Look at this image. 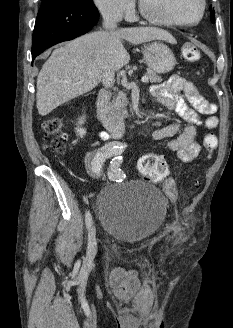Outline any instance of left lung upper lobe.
I'll return each instance as SVG.
<instances>
[{
	"label": "left lung upper lobe",
	"mask_w": 233,
	"mask_h": 328,
	"mask_svg": "<svg viewBox=\"0 0 233 328\" xmlns=\"http://www.w3.org/2000/svg\"><path fill=\"white\" fill-rule=\"evenodd\" d=\"M213 11H214V10H213ZM211 22H212V23H215V22H214V14H213V13L211 14Z\"/></svg>",
	"instance_id": "5c2ea615"
}]
</instances>
